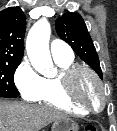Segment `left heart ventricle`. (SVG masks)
<instances>
[{"instance_id": "left-heart-ventricle-1", "label": "left heart ventricle", "mask_w": 117, "mask_h": 131, "mask_svg": "<svg viewBox=\"0 0 117 131\" xmlns=\"http://www.w3.org/2000/svg\"><path fill=\"white\" fill-rule=\"evenodd\" d=\"M79 93L85 100L92 103L94 106L99 105L101 94L95 81L91 77L85 76L82 78L79 84Z\"/></svg>"}]
</instances>
